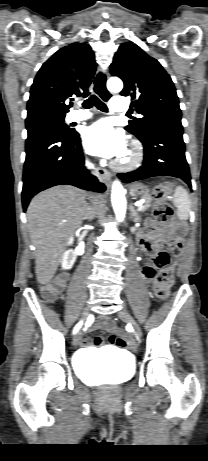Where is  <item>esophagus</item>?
<instances>
[{
	"label": "esophagus",
	"instance_id": "34e87169",
	"mask_svg": "<svg viewBox=\"0 0 208 461\" xmlns=\"http://www.w3.org/2000/svg\"><path fill=\"white\" fill-rule=\"evenodd\" d=\"M108 76H109L108 73L105 72V84L107 82ZM97 175H98L99 179L102 180L106 185L109 186L111 184L112 175L106 169L98 168L97 169Z\"/></svg>",
	"mask_w": 208,
	"mask_h": 461
}]
</instances>
